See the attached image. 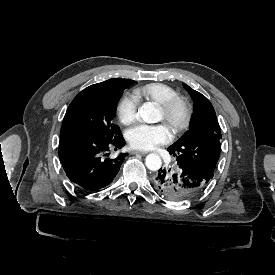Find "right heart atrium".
Here are the masks:
<instances>
[{"mask_svg":"<svg viewBox=\"0 0 275 275\" xmlns=\"http://www.w3.org/2000/svg\"><path fill=\"white\" fill-rule=\"evenodd\" d=\"M138 107L139 99L134 94H124L117 106L119 120L125 125L131 124L136 119Z\"/></svg>","mask_w":275,"mask_h":275,"instance_id":"d8ad5b80","label":"right heart atrium"}]
</instances>
